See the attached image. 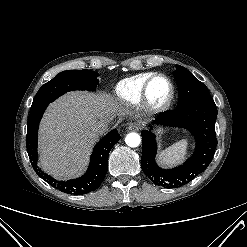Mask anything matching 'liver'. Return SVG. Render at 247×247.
Wrapping results in <instances>:
<instances>
[{"mask_svg":"<svg viewBox=\"0 0 247 247\" xmlns=\"http://www.w3.org/2000/svg\"><path fill=\"white\" fill-rule=\"evenodd\" d=\"M124 111L107 93L69 92L46 110L39 128L40 166L55 178H70L86 167L99 135L93 125Z\"/></svg>","mask_w":247,"mask_h":247,"instance_id":"6515ba94","label":"liver"}]
</instances>
